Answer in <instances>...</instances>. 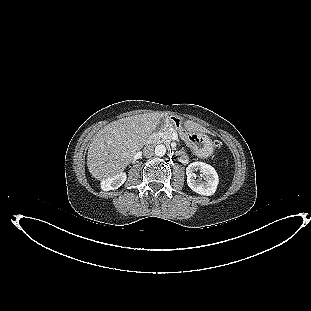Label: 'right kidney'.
<instances>
[{"label": "right kidney", "instance_id": "ca27d5eb", "mask_svg": "<svg viewBox=\"0 0 311 311\" xmlns=\"http://www.w3.org/2000/svg\"><path fill=\"white\" fill-rule=\"evenodd\" d=\"M126 181V174L120 173L116 176L103 180L101 182V188L105 191L118 189Z\"/></svg>", "mask_w": 311, "mask_h": 311}]
</instances>
